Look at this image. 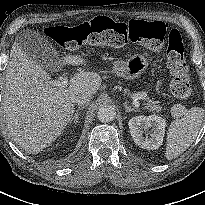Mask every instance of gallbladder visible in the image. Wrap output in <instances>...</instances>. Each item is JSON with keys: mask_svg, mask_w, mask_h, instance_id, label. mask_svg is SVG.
Returning <instances> with one entry per match:
<instances>
[{"mask_svg": "<svg viewBox=\"0 0 205 205\" xmlns=\"http://www.w3.org/2000/svg\"><path fill=\"white\" fill-rule=\"evenodd\" d=\"M17 42L27 56L47 71L60 66V55L47 38L32 30H23L17 36Z\"/></svg>", "mask_w": 205, "mask_h": 205, "instance_id": "obj_1", "label": "gallbladder"}]
</instances>
